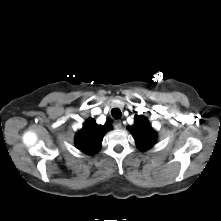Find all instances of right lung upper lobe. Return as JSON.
Segmentation results:
<instances>
[{"mask_svg":"<svg viewBox=\"0 0 221 221\" xmlns=\"http://www.w3.org/2000/svg\"><path fill=\"white\" fill-rule=\"evenodd\" d=\"M112 126L107 123L104 126L97 125L94 119H89L76 136V146L87 154L97 152L100 148L104 134Z\"/></svg>","mask_w":221,"mask_h":221,"instance_id":"cb5924a9","label":"right lung upper lobe"}]
</instances>
